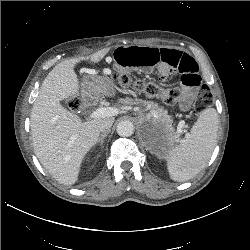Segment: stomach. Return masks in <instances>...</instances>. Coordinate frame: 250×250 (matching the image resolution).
<instances>
[{"instance_id": "0dacf381", "label": "stomach", "mask_w": 250, "mask_h": 250, "mask_svg": "<svg viewBox=\"0 0 250 250\" xmlns=\"http://www.w3.org/2000/svg\"><path fill=\"white\" fill-rule=\"evenodd\" d=\"M82 97L96 99L101 96H112L115 90L111 80L107 77H91L82 84Z\"/></svg>"}]
</instances>
